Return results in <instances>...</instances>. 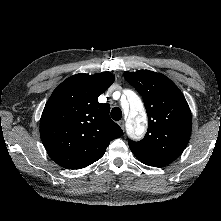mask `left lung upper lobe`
<instances>
[{
  "label": "left lung upper lobe",
  "instance_id": "1",
  "mask_svg": "<svg viewBox=\"0 0 221 221\" xmlns=\"http://www.w3.org/2000/svg\"><path fill=\"white\" fill-rule=\"evenodd\" d=\"M124 78L143 97L149 119L144 139L129 140L131 151L146 165L163 167L170 164L181 155L191 135L192 117L185 97L160 73L124 72Z\"/></svg>",
  "mask_w": 221,
  "mask_h": 221
}]
</instances>
